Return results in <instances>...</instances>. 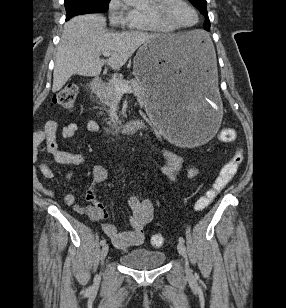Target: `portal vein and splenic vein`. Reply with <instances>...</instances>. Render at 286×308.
Instances as JSON below:
<instances>
[{"instance_id": "18ae733b", "label": "portal vein and splenic vein", "mask_w": 286, "mask_h": 308, "mask_svg": "<svg viewBox=\"0 0 286 308\" xmlns=\"http://www.w3.org/2000/svg\"><path fill=\"white\" fill-rule=\"evenodd\" d=\"M102 55L104 57H109L111 55V52L110 51H103ZM113 81H114V86H115V89H116L118 95H123L124 93L133 92V89L131 87L124 85L117 78H114Z\"/></svg>"}]
</instances>
